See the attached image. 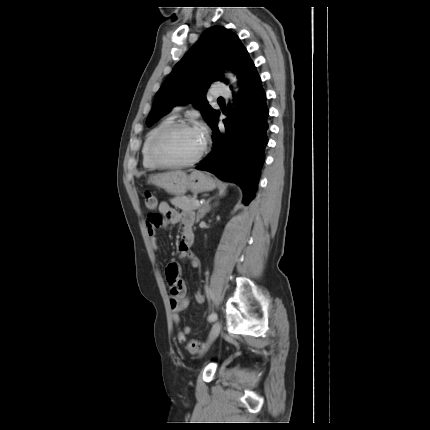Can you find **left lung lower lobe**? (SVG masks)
I'll return each mask as SVG.
<instances>
[{"mask_svg":"<svg viewBox=\"0 0 430 430\" xmlns=\"http://www.w3.org/2000/svg\"><path fill=\"white\" fill-rule=\"evenodd\" d=\"M240 92L235 109L228 106L224 131H219L218 112L209 125L213 130V149L196 167L215 174L218 178L238 184L243 191V203L254 198L260 170L265 160L264 147L268 142L266 130V95L257 73L239 82Z\"/></svg>","mask_w":430,"mask_h":430,"instance_id":"1","label":"left lung lower lobe"}]
</instances>
